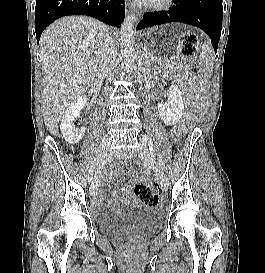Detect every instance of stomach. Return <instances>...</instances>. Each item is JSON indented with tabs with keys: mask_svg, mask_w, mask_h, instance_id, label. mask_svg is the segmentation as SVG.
I'll return each instance as SVG.
<instances>
[{
	"mask_svg": "<svg viewBox=\"0 0 265 273\" xmlns=\"http://www.w3.org/2000/svg\"><path fill=\"white\" fill-rule=\"evenodd\" d=\"M186 30H192V25H156V29L141 35L138 49L145 50L144 59L151 60V64H164V60L179 55L176 50H179Z\"/></svg>",
	"mask_w": 265,
	"mask_h": 273,
	"instance_id": "0dacf381",
	"label": "stomach"
}]
</instances>
